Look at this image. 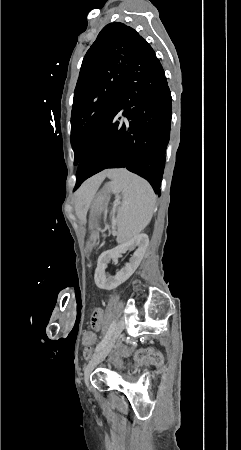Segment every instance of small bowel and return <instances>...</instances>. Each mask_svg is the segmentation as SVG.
<instances>
[{
    "instance_id": "small-bowel-1",
    "label": "small bowel",
    "mask_w": 241,
    "mask_h": 450,
    "mask_svg": "<svg viewBox=\"0 0 241 450\" xmlns=\"http://www.w3.org/2000/svg\"><path fill=\"white\" fill-rule=\"evenodd\" d=\"M95 316H89L88 323L89 325H92L94 330H101L103 327V318L101 315V312L99 310H96L94 312ZM96 336V335H95Z\"/></svg>"
}]
</instances>
